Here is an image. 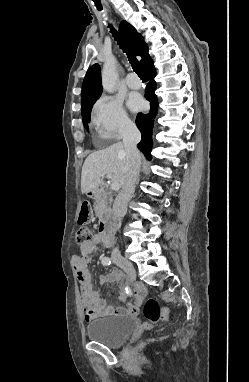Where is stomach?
Here are the masks:
<instances>
[{
  "label": "stomach",
  "mask_w": 249,
  "mask_h": 382,
  "mask_svg": "<svg viewBox=\"0 0 249 382\" xmlns=\"http://www.w3.org/2000/svg\"><path fill=\"white\" fill-rule=\"evenodd\" d=\"M86 196H87L88 198H91V197L93 196V193H92L91 191H88V192L86 193Z\"/></svg>",
  "instance_id": "stomach-1"
}]
</instances>
